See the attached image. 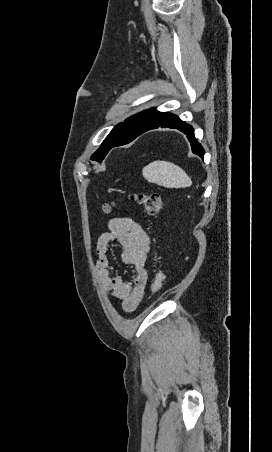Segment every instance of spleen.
Wrapping results in <instances>:
<instances>
[{
  "label": "spleen",
  "instance_id": "3e777b00",
  "mask_svg": "<svg viewBox=\"0 0 272 452\" xmlns=\"http://www.w3.org/2000/svg\"><path fill=\"white\" fill-rule=\"evenodd\" d=\"M144 178L150 182L167 188H185L192 185L186 172L168 161H154L143 168Z\"/></svg>",
  "mask_w": 272,
  "mask_h": 452
}]
</instances>
